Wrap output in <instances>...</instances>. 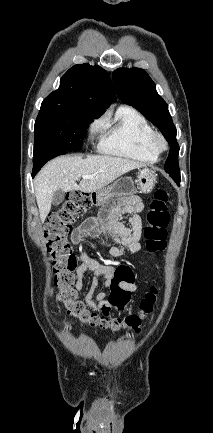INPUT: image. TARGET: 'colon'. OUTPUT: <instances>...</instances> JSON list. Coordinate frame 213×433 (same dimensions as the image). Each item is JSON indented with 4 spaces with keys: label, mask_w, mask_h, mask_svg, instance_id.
Wrapping results in <instances>:
<instances>
[{
    "label": "colon",
    "mask_w": 213,
    "mask_h": 433,
    "mask_svg": "<svg viewBox=\"0 0 213 433\" xmlns=\"http://www.w3.org/2000/svg\"><path fill=\"white\" fill-rule=\"evenodd\" d=\"M167 202V192L158 189L149 204L144 237L146 248L151 253L162 251L166 246V227L169 222ZM88 205L89 199L86 195L79 192L70 193L62 207L52 212L47 219L44 237L53 260L55 284L60 289V300L69 314L88 326L112 332L123 329L137 332L140 330L142 321L154 310L157 301L156 287H151L145 294L137 313L128 314L123 318L92 311L77 298L73 273L77 262L66 237L72 232L77 218ZM133 282L134 273L130 267L119 266L115 269L109 300L120 311H124L130 301L131 292L128 286Z\"/></svg>",
    "instance_id": "1"
}]
</instances>
